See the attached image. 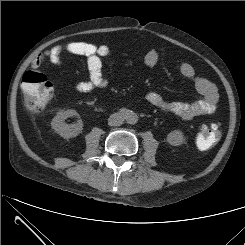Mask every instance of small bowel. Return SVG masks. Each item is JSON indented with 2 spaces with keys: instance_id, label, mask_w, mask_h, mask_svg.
<instances>
[{
  "instance_id": "1",
  "label": "small bowel",
  "mask_w": 245,
  "mask_h": 245,
  "mask_svg": "<svg viewBox=\"0 0 245 245\" xmlns=\"http://www.w3.org/2000/svg\"><path fill=\"white\" fill-rule=\"evenodd\" d=\"M80 55L86 58L89 78L86 81L76 84L77 92H87L96 88L106 87L107 79L102 73V60L110 55L109 47L105 45L97 46L87 42L71 41L56 45L45 52L39 54L33 61V66L38 67L45 62H50L54 66L62 65V54ZM159 53L150 50L145 55V63L149 67H154L159 61ZM180 74L194 83L199 94L197 100L191 102H168L159 94H148V102L163 112L176 115L182 120L210 114L218 106L219 96L215 85L208 79L198 76L194 67L189 63H182L179 67Z\"/></svg>"
}]
</instances>
